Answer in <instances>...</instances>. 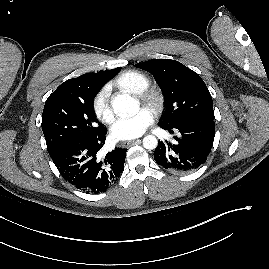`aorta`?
<instances>
[{
    "instance_id": "762f6f07",
    "label": "aorta",
    "mask_w": 269,
    "mask_h": 269,
    "mask_svg": "<svg viewBox=\"0 0 269 269\" xmlns=\"http://www.w3.org/2000/svg\"><path fill=\"white\" fill-rule=\"evenodd\" d=\"M114 112L122 117H130L136 114L139 109V102L127 94H120L112 100ZM158 141L155 136L147 135L143 139V146L148 150H153L157 147Z\"/></svg>"
}]
</instances>
